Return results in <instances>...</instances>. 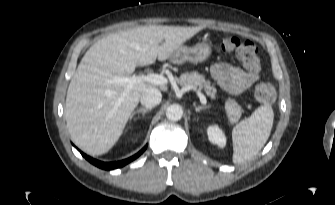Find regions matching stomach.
<instances>
[{
  "instance_id": "1",
  "label": "stomach",
  "mask_w": 335,
  "mask_h": 205,
  "mask_svg": "<svg viewBox=\"0 0 335 205\" xmlns=\"http://www.w3.org/2000/svg\"><path fill=\"white\" fill-rule=\"evenodd\" d=\"M212 53V48L208 43L202 42L193 47L182 46L175 52L172 60L176 63H199L209 58Z\"/></svg>"
}]
</instances>
